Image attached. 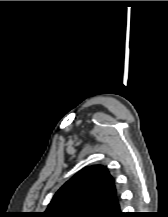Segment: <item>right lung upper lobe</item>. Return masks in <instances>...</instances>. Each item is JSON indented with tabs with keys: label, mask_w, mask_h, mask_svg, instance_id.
Masks as SVG:
<instances>
[{
	"label": "right lung upper lobe",
	"mask_w": 168,
	"mask_h": 217,
	"mask_svg": "<svg viewBox=\"0 0 168 217\" xmlns=\"http://www.w3.org/2000/svg\"><path fill=\"white\" fill-rule=\"evenodd\" d=\"M119 209L112 176L104 166L94 165L67 181L40 217H110Z\"/></svg>",
	"instance_id": "1"
}]
</instances>
